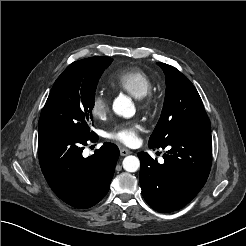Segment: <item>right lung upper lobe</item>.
<instances>
[{
  "label": "right lung upper lobe",
  "mask_w": 246,
  "mask_h": 246,
  "mask_svg": "<svg viewBox=\"0 0 246 246\" xmlns=\"http://www.w3.org/2000/svg\"><path fill=\"white\" fill-rule=\"evenodd\" d=\"M80 61H82V60H80ZM77 62H79V61H77ZM77 62H73V63H77ZM73 63H72V64H73Z\"/></svg>",
  "instance_id": "cb5924a9"
}]
</instances>
